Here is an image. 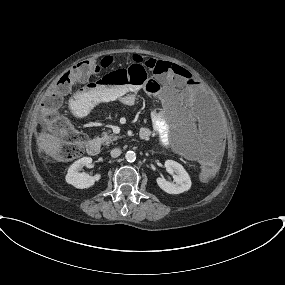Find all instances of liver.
Returning a JSON list of instances; mask_svg holds the SVG:
<instances>
[{
    "label": "liver",
    "mask_w": 285,
    "mask_h": 285,
    "mask_svg": "<svg viewBox=\"0 0 285 285\" xmlns=\"http://www.w3.org/2000/svg\"><path fill=\"white\" fill-rule=\"evenodd\" d=\"M63 140L55 134L41 132L37 136V145L40 153L48 156H56L61 153Z\"/></svg>",
    "instance_id": "liver-1"
}]
</instances>
